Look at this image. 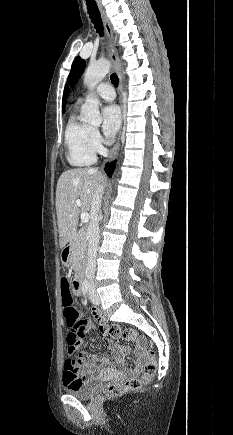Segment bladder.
Wrapping results in <instances>:
<instances>
[{
	"instance_id": "1",
	"label": "bladder",
	"mask_w": 233,
	"mask_h": 435,
	"mask_svg": "<svg viewBox=\"0 0 233 435\" xmlns=\"http://www.w3.org/2000/svg\"><path fill=\"white\" fill-rule=\"evenodd\" d=\"M100 384L98 382H88L83 386H78L68 391V394L75 396L79 399H88L92 397L96 392L100 390Z\"/></svg>"
}]
</instances>
